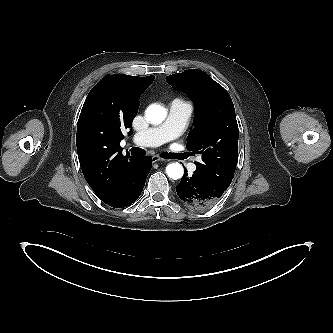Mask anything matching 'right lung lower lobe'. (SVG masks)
Segmentation results:
<instances>
[{
  "mask_svg": "<svg viewBox=\"0 0 333 333\" xmlns=\"http://www.w3.org/2000/svg\"><path fill=\"white\" fill-rule=\"evenodd\" d=\"M150 170L151 157L134 158L127 166L120 192L106 204L114 208H123L131 205L140 196Z\"/></svg>",
  "mask_w": 333,
  "mask_h": 333,
  "instance_id": "1",
  "label": "right lung lower lobe"
}]
</instances>
